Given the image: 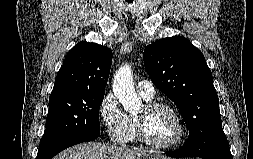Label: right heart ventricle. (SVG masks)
Masks as SVG:
<instances>
[{
	"label": "right heart ventricle",
	"instance_id": "obj_1",
	"mask_svg": "<svg viewBox=\"0 0 253 159\" xmlns=\"http://www.w3.org/2000/svg\"><path fill=\"white\" fill-rule=\"evenodd\" d=\"M146 100V99H145ZM150 101V100H146ZM137 137L136 121L134 116H129V142H133Z\"/></svg>",
	"mask_w": 253,
	"mask_h": 159
}]
</instances>
